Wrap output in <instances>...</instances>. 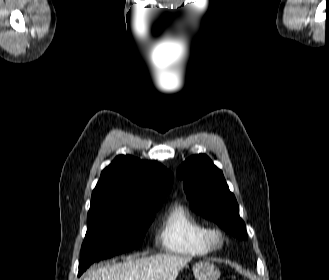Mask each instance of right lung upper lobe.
Segmentation results:
<instances>
[{
  "label": "right lung upper lobe",
  "instance_id": "obj_1",
  "mask_svg": "<svg viewBox=\"0 0 329 280\" xmlns=\"http://www.w3.org/2000/svg\"><path fill=\"white\" fill-rule=\"evenodd\" d=\"M173 174L156 161H143L130 155L117 156L106 167L92 192L91 213L97 204L110 201L144 203L166 198Z\"/></svg>",
  "mask_w": 329,
  "mask_h": 280
}]
</instances>
